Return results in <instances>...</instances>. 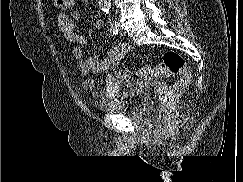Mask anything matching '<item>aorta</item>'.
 I'll list each match as a JSON object with an SVG mask.
<instances>
[{
	"mask_svg": "<svg viewBox=\"0 0 243 182\" xmlns=\"http://www.w3.org/2000/svg\"><path fill=\"white\" fill-rule=\"evenodd\" d=\"M97 4L103 13L109 14L111 9V0H97Z\"/></svg>",
	"mask_w": 243,
	"mask_h": 182,
	"instance_id": "762f6f07",
	"label": "aorta"
}]
</instances>
